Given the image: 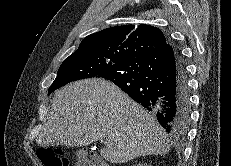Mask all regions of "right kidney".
I'll use <instances>...</instances> for the list:
<instances>
[{
    "mask_svg": "<svg viewBox=\"0 0 231 166\" xmlns=\"http://www.w3.org/2000/svg\"><path fill=\"white\" fill-rule=\"evenodd\" d=\"M134 166H151V165H147V164H138V165H134Z\"/></svg>",
    "mask_w": 231,
    "mask_h": 166,
    "instance_id": "1",
    "label": "right kidney"
}]
</instances>
